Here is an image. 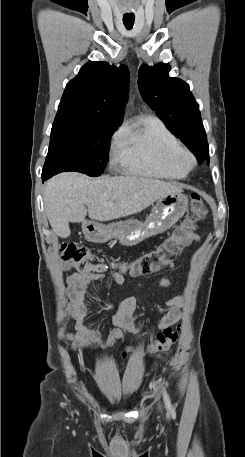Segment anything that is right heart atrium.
<instances>
[{
	"label": "right heart atrium",
	"mask_w": 245,
	"mask_h": 457,
	"mask_svg": "<svg viewBox=\"0 0 245 457\" xmlns=\"http://www.w3.org/2000/svg\"><path fill=\"white\" fill-rule=\"evenodd\" d=\"M120 137H121V131L119 129H117L116 131L113 132V134L110 138V144L113 146V148L119 144Z\"/></svg>",
	"instance_id": "obj_1"
}]
</instances>
